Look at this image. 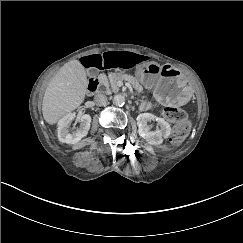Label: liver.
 I'll return each mask as SVG.
<instances>
[{
    "label": "liver",
    "instance_id": "6515ba94",
    "mask_svg": "<svg viewBox=\"0 0 243 243\" xmlns=\"http://www.w3.org/2000/svg\"><path fill=\"white\" fill-rule=\"evenodd\" d=\"M88 79L79 60L64 64L45 89L42 114L46 123L55 125L85 101Z\"/></svg>",
    "mask_w": 243,
    "mask_h": 243
}]
</instances>
